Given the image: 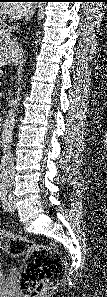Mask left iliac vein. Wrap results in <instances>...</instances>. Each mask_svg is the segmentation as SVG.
<instances>
[{"instance_id":"obj_1","label":"left iliac vein","mask_w":107,"mask_h":297,"mask_svg":"<svg viewBox=\"0 0 107 297\" xmlns=\"http://www.w3.org/2000/svg\"><path fill=\"white\" fill-rule=\"evenodd\" d=\"M4 209L7 210V211H9V212H13L15 210V205H14L13 197L11 195H9L6 198V205H5Z\"/></svg>"}]
</instances>
